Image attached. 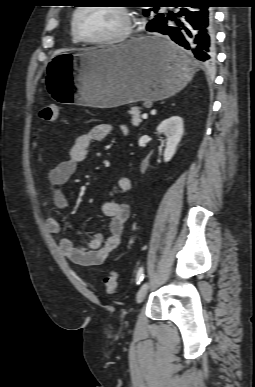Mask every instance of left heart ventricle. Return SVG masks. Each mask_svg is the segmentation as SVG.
Wrapping results in <instances>:
<instances>
[{"label": "left heart ventricle", "mask_w": 255, "mask_h": 387, "mask_svg": "<svg viewBox=\"0 0 255 387\" xmlns=\"http://www.w3.org/2000/svg\"><path fill=\"white\" fill-rule=\"evenodd\" d=\"M77 25L83 36L100 39L119 32L124 25V19L113 7L90 6L79 13Z\"/></svg>", "instance_id": "b2bd125f"}]
</instances>
